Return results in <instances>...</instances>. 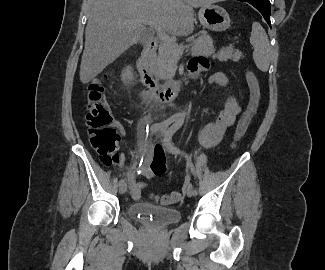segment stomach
Segmentation results:
<instances>
[{
  "label": "stomach",
  "mask_w": 325,
  "mask_h": 270,
  "mask_svg": "<svg viewBox=\"0 0 325 270\" xmlns=\"http://www.w3.org/2000/svg\"><path fill=\"white\" fill-rule=\"evenodd\" d=\"M200 23L213 31H223L230 26V17L225 9L217 5H203L198 13Z\"/></svg>",
  "instance_id": "obj_1"
}]
</instances>
